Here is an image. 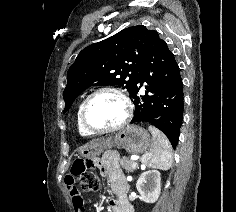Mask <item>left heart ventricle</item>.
Here are the masks:
<instances>
[{
  "mask_svg": "<svg viewBox=\"0 0 236 212\" xmlns=\"http://www.w3.org/2000/svg\"><path fill=\"white\" fill-rule=\"evenodd\" d=\"M124 112L122 100L113 93L105 92L98 94L90 101L86 118L93 128L103 129L120 123Z\"/></svg>",
  "mask_w": 236,
  "mask_h": 212,
  "instance_id": "obj_1",
  "label": "left heart ventricle"
}]
</instances>
